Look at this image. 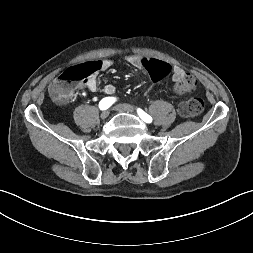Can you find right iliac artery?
Segmentation results:
<instances>
[{
  "mask_svg": "<svg viewBox=\"0 0 253 253\" xmlns=\"http://www.w3.org/2000/svg\"><path fill=\"white\" fill-rule=\"evenodd\" d=\"M114 97H105L99 102V108L100 110H106L108 109L114 102H115Z\"/></svg>",
  "mask_w": 253,
  "mask_h": 253,
  "instance_id": "right-iliac-artery-1",
  "label": "right iliac artery"
}]
</instances>
